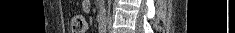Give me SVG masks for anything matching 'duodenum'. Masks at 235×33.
Masks as SVG:
<instances>
[{
    "instance_id": "duodenum-1",
    "label": "duodenum",
    "mask_w": 235,
    "mask_h": 33,
    "mask_svg": "<svg viewBox=\"0 0 235 33\" xmlns=\"http://www.w3.org/2000/svg\"><path fill=\"white\" fill-rule=\"evenodd\" d=\"M99 32L100 33L105 32V23L103 21H100V23H99Z\"/></svg>"
}]
</instances>
